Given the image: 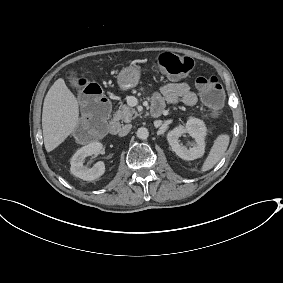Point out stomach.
I'll list each match as a JSON object with an SVG mask.
<instances>
[{"label": "stomach", "instance_id": "0dacf381", "mask_svg": "<svg viewBox=\"0 0 283 283\" xmlns=\"http://www.w3.org/2000/svg\"><path fill=\"white\" fill-rule=\"evenodd\" d=\"M140 79V67L128 66L123 68L118 77L117 83L122 90H128L135 87Z\"/></svg>", "mask_w": 283, "mask_h": 283}]
</instances>
